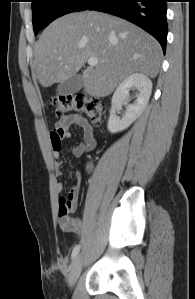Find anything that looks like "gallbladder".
I'll return each instance as SVG.
<instances>
[{
	"label": "gallbladder",
	"mask_w": 195,
	"mask_h": 299,
	"mask_svg": "<svg viewBox=\"0 0 195 299\" xmlns=\"http://www.w3.org/2000/svg\"><path fill=\"white\" fill-rule=\"evenodd\" d=\"M83 87V78L80 74H75L71 78L61 82L57 87V93L69 95L78 92Z\"/></svg>",
	"instance_id": "obj_1"
}]
</instances>
